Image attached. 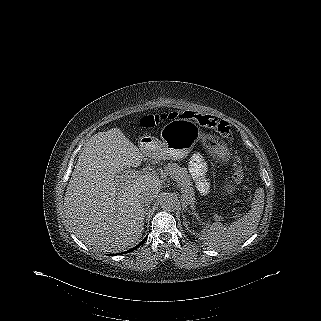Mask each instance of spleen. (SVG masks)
Wrapping results in <instances>:
<instances>
[{
  "instance_id": "1",
  "label": "spleen",
  "mask_w": 321,
  "mask_h": 321,
  "mask_svg": "<svg viewBox=\"0 0 321 321\" xmlns=\"http://www.w3.org/2000/svg\"><path fill=\"white\" fill-rule=\"evenodd\" d=\"M264 209V190L259 189L249 212L229 226L213 223L204 227L202 236L205 244L212 249H230L252 235L261 219Z\"/></svg>"
}]
</instances>
